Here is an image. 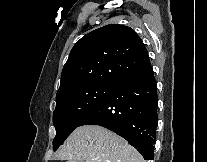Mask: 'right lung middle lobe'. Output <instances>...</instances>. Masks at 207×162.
Masks as SVG:
<instances>
[{"instance_id": "1", "label": "right lung middle lobe", "mask_w": 207, "mask_h": 162, "mask_svg": "<svg viewBox=\"0 0 207 162\" xmlns=\"http://www.w3.org/2000/svg\"><path fill=\"white\" fill-rule=\"evenodd\" d=\"M115 84H96L72 90L56 97L53 123L56 136L54 151L71 132L110 94Z\"/></svg>"}]
</instances>
